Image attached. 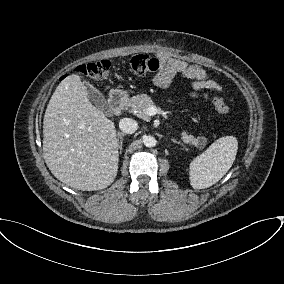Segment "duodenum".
Wrapping results in <instances>:
<instances>
[{"label": "duodenum", "mask_w": 284, "mask_h": 284, "mask_svg": "<svg viewBox=\"0 0 284 284\" xmlns=\"http://www.w3.org/2000/svg\"><path fill=\"white\" fill-rule=\"evenodd\" d=\"M127 95L122 90H114L110 93L109 105L115 113H120L126 103Z\"/></svg>", "instance_id": "obj_1"}]
</instances>
